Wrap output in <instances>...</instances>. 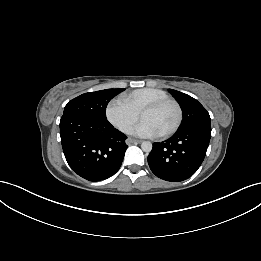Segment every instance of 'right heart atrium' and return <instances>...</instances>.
<instances>
[{"label": "right heart atrium", "mask_w": 261, "mask_h": 261, "mask_svg": "<svg viewBox=\"0 0 261 261\" xmlns=\"http://www.w3.org/2000/svg\"><path fill=\"white\" fill-rule=\"evenodd\" d=\"M107 120L119 131L129 133L139 118L123 97L113 98L106 107Z\"/></svg>", "instance_id": "right-heart-atrium-1"}]
</instances>
